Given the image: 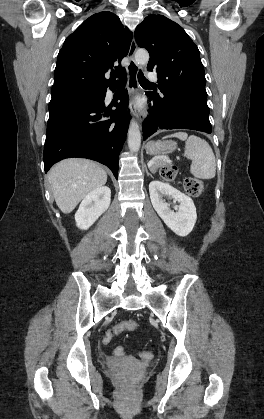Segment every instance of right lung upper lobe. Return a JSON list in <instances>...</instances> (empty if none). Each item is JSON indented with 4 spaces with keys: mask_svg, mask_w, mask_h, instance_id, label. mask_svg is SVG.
Masks as SVG:
<instances>
[{
    "mask_svg": "<svg viewBox=\"0 0 264 419\" xmlns=\"http://www.w3.org/2000/svg\"><path fill=\"white\" fill-rule=\"evenodd\" d=\"M131 40L132 33L115 14L100 12L89 17L67 37L58 54L52 98L116 85L114 73L124 69L120 61L128 54Z\"/></svg>",
    "mask_w": 264,
    "mask_h": 419,
    "instance_id": "right-lung-upper-lobe-1",
    "label": "right lung upper lobe"
}]
</instances>
